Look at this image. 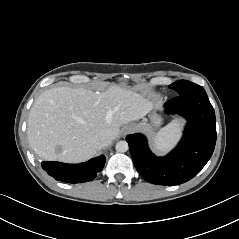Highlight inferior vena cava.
Here are the masks:
<instances>
[{
	"mask_svg": "<svg viewBox=\"0 0 239 239\" xmlns=\"http://www.w3.org/2000/svg\"><path fill=\"white\" fill-rule=\"evenodd\" d=\"M111 144V141L108 139V138H103V139H101V141L99 142V147L100 148H104V147H106V146H108V145H110Z\"/></svg>",
	"mask_w": 239,
	"mask_h": 239,
	"instance_id": "602c4592",
	"label": "inferior vena cava"
}]
</instances>
